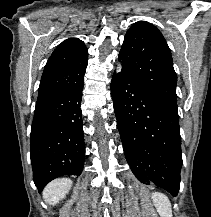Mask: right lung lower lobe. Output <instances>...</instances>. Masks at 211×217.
Here are the masks:
<instances>
[{"mask_svg": "<svg viewBox=\"0 0 211 217\" xmlns=\"http://www.w3.org/2000/svg\"><path fill=\"white\" fill-rule=\"evenodd\" d=\"M83 83L84 74L73 86L36 102L30 157L39 192L53 179L79 176L83 170L85 145L80 108Z\"/></svg>", "mask_w": 211, "mask_h": 217, "instance_id": "98d812e1", "label": "right lung lower lobe"}]
</instances>
